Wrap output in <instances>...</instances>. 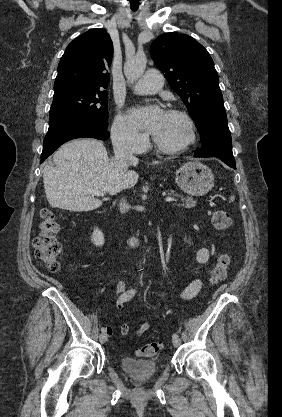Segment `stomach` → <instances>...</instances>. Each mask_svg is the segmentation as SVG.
Masks as SVG:
<instances>
[{"instance_id": "obj_1", "label": "stomach", "mask_w": 282, "mask_h": 417, "mask_svg": "<svg viewBox=\"0 0 282 417\" xmlns=\"http://www.w3.org/2000/svg\"><path fill=\"white\" fill-rule=\"evenodd\" d=\"M176 182L191 196H203L214 186V174L202 162H185L176 170Z\"/></svg>"}]
</instances>
